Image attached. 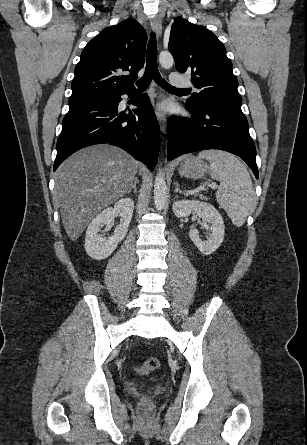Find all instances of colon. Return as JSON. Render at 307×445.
I'll list each match as a JSON object with an SVG mask.
<instances>
[{"instance_id": "5ec220e1", "label": "colon", "mask_w": 307, "mask_h": 445, "mask_svg": "<svg viewBox=\"0 0 307 445\" xmlns=\"http://www.w3.org/2000/svg\"><path fill=\"white\" fill-rule=\"evenodd\" d=\"M159 360L155 357H150L146 359L141 364L137 365L135 371L141 375H148L155 371L159 367ZM141 406L143 408H150L151 403L148 398H143L141 401Z\"/></svg>"}]
</instances>
